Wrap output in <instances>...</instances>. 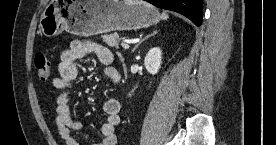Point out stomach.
Masks as SVG:
<instances>
[{
    "label": "stomach",
    "instance_id": "1",
    "mask_svg": "<svg viewBox=\"0 0 276 145\" xmlns=\"http://www.w3.org/2000/svg\"><path fill=\"white\" fill-rule=\"evenodd\" d=\"M159 11L141 0H57L43 11L39 23L46 37L67 31L89 37L157 24Z\"/></svg>",
    "mask_w": 276,
    "mask_h": 145
}]
</instances>
